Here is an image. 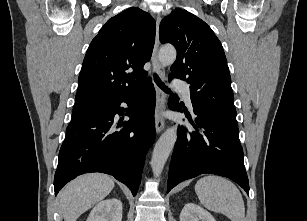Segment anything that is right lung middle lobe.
I'll return each instance as SVG.
<instances>
[{
	"label": "right lung middle lobe",
	"instance_id": "obj_1",
	"mask_svg": "<svg viewBox=\"0 0 307 221\" xmlns=\"http://www.w3.org/2000/svg\"><path fill=\"white\" fill-rule=\"evenodd\" d=\"M109 103H96L75 106L72 112V119L69 125L76 124L83 120H86L94 115L105 110Z\"/></svg>",
	"mask_w": 307,
	"mask_h": 221
}]
</instances>
